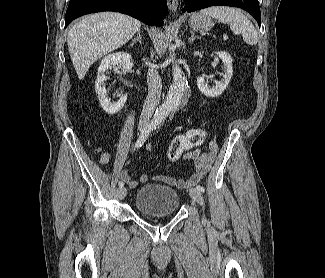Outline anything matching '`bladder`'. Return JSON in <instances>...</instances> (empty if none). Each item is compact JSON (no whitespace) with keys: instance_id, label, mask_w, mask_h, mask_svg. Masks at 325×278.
Segmentation results:
<instances>
[{"instance_id":"obj_1","label":"bladder","mask_w":325,"mask_h":278,"mask_svg":"<svg viewBox=\"0 0 325 278\" xmlns=\"http://www.w3.org/2000/svg\"><path fill=\"white\" fill-rule=\"evenodd\" d=\"M179 193L172 187L160 183L141 186L136 194L134 206L144 215H169L178 211Z\"/></svg>"}]
</instances>
